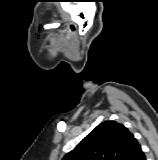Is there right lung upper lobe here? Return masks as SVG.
<instances>
[{
  "label": "right lung upper lobe",
  "mask_w": 158,
  "mask_h": 160,
  "mask_svg": "<svg viewBox=\"0 0 158 160\" xmlns=\"http://www.w3.org/2000/svg\"><path fill=\"white\" fill-rule=\"evenodd\" d=\"M141 152L140 144L125 126L105 121L62 160H134Z\"/></svg>",
  "instance_id": "cb5924a9"
}]
</instances>
